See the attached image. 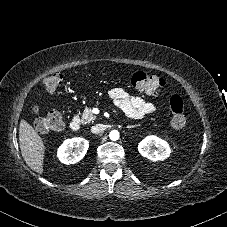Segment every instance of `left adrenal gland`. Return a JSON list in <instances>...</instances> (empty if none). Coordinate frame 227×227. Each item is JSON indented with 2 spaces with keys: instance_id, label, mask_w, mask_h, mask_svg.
I'll return each instance as SVG.
<instances>
[{
  "instance_id": "1",
  "label": "left adrenal gland",
  "mask_w": 227,
  "mask_h": 227,
  "mask_svg": "<svg viewBox=\"0 0 227 227\" xmlns=\"http://www.w3.org/2000/svg\"><path fill=\"white\" fill-rule=\"evenodd\" d=\"M137 127V125L127 126V128H134Z\"/></svg>"
}]
</instances>
